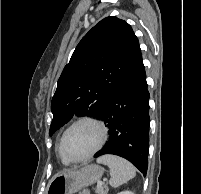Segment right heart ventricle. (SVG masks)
I'll return each mask as SVG.
<instances>
[{"instance_id": "right-heart-ventricle-1", "label": "right heart ventricle", "mask_w": 201, "mask_h": 194, "mask_svg": "<svg viewBox=\"0 0 201 194\" xmlns=\"http://www.w3.org/2000/svg\"><path fill=\"white\" fill-rule=\"evenodd\" d=\"M61 157V156H60ZM61 160H62V162L64 163V164H69V162H67V161H65L62 157H61Z\"/></svg>"}]
</instances>
